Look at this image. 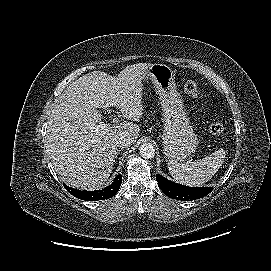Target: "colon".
Segmentation results:
<instances>
[{
	"instance_id": "obj_1",
	"label": "colon",
	"mask_w": 271,
	"mask_h": 271,
	"mask_svg": "<svg viewBox=\"0 0 271 271\" xmlns=\"http://www.w3.org/2000/svg\"><path fill=\"white\" fill-rule=\"evenodd\" d=\"M184 90L194 99H198L200 96L198 85L193 80H187L184 83ZM224 129V125L220 121L214 120L209 124V132L214 136L221 135Z\"/></svg>"
}]
</instances>
